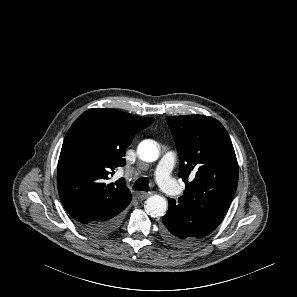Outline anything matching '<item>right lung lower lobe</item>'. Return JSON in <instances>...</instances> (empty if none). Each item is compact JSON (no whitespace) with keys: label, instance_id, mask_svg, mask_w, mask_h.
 Returning <instances> with one entry per match:
<instances>
[{"label":"right lung lower lobe","instance_id":"right-lung-lower-lobe-1","mask_svg":"<svg viewBox=\"0 0 297 297\" xmlns=\"http://www.w3.org/2000/svg\"><path fill=\"white\" fill-rule=\"evenodd\" d=\"M122 211L109 214L99 221L79 226L83 231L90 235L107 236L119 228L122 220Z\"/></svg>","mask_w":297,"mask_h":297}]
</instances>
